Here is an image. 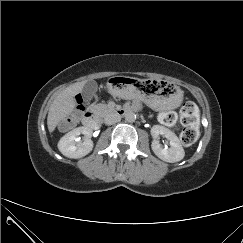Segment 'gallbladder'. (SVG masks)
<instances>
[{"label": "gallbladder", "mask_w": 243, "mask_h": 243, "mask_svg": "<svg viewBox=\"0 0 243 243\" xmlns=\"http://www.w3.org/2000/svg\"><path fill=\"white\" fill-rule=\"evenodd\" d=\"M97 83L93 80L91 81H88L83 89H82V95H83V98L86 102H89L92 97L95 95L96 91H97Z\"/></svg>", "instance_id": "gallbladder-1"}]
</instances>
